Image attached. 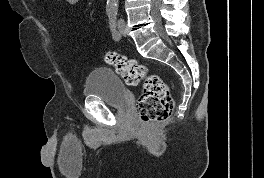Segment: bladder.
Masks as SVG:
<instances>
[{"instance_id":"1","label":"bladder","mask_w":264,"mask_h":178,"mask_svg":"<svg viewBox=\"0 0 264 178\" xmlns=\"http://www.w3.org/2000/svg\"><path fill=\"white\" fill-rule=\"evenodd\" d=\"M83 94L87 99H97L112 107H122L127 102V90L122 80L109 68H96L86 77Z\"/></svg>"}]
</instances>
